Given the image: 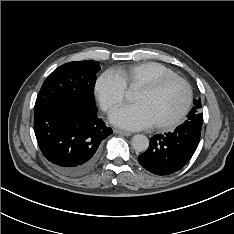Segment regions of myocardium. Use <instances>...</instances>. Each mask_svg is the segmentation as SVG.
<instances>
[{"label":"myocardium","mask_w":234,"mask_h":234,"mask_svg":"<svg viewBox=\"0 0 234 234\" xmlns=\"http://www.w3.org/2000/svg\"><path fill=\"white\" fill-rule=\"evenodd\" d=\"M172 82H179L184 87L186 93L185 103L180 109V111L170 120L157 124H152V127L154 129L168 130L180 123V121L185 117V115L188 113L191 107L193 100L192 88L184 78L177 75L163 77L149 84L141 85L137 88V91L143 92L145 94H153Z\"/></svg>","instance_id":"1"}]
</instances>
